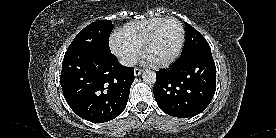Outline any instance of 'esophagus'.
<instances>
[{
  "instance_id": "obj_1",
  "label": "esophagus",
  "mask_w": 276,
  "mask_h": 138,
  "mask_svg": "<svg viewBox=\"0 0 276 138\" xmlns=\"http://www.w3.org/2000/svg\"><path fill=\"white\" fill-rule=\"evenodd\" d=\"M141 73H142V69H140V68H138V67H136V68L134 69V74H135V76H139Z\"/></svg>"
}]
</instances>
